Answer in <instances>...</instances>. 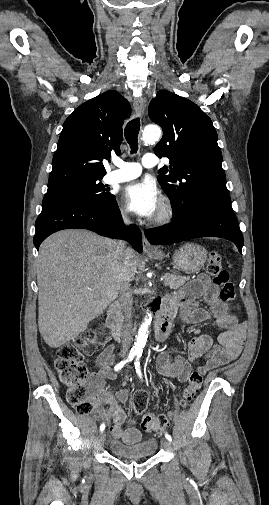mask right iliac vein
Listing matches in <instances>:
<instances>
[{
	"label": "right iliac vein",
	"mask_w": 269,
	"mask_h": 505,
	"mask_svg": "<svg viewBox=\"0 0 269 505\" xmlns=\"http://www.w3.org/2000/svg\"><path fill=\"white\" fill-rule=\"evenodd\" d=\"M105 439H106L105 432L102 431L98 436V445L102 446L103 443L105 442Z\"/></svg>",
	"instance_id": "63e3f726"
}]
</instances>
